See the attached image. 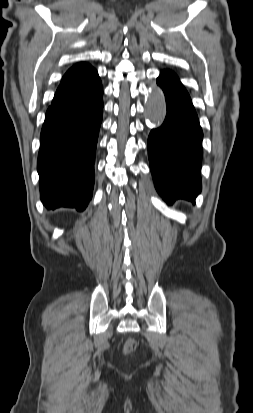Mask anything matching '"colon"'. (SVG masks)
Listing matches in <instances>:
<instances>
[{
  "mask_svg": "<svg viewBox=\"0 0 253 413\" xmlns=\"http://www.w3.org/2000/svg\"><path fill=\"white\" fill-rule=\"evenodd\" d=\"M136 348V341L134 339H128L124 345V352L130 353Z\"/></svg>",
  "mask_w": 253,
  "mask_h": 413,
  "instance_id": "5ec220e1",
  "label": "colon"
}]
</instances>
